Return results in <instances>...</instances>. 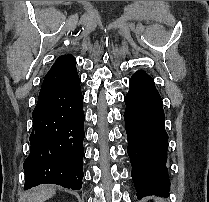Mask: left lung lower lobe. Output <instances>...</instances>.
Wrapping results in <instances>:
<instances>
[{"label":"left lung lower lobe","instance_id":"0a47b994","mask_svg":"<svg viewBox=\"0 0 209 202\" xmlns=\"http://www.w3.org/2000/svg\"><path fill=\"white\" fill-rule=\"evenodd\" d=\"M124 101L127 151L137 198L168 196V135L164 125L163 104L153 79L144 70L132 75Z\"/></svg>","mask_w":209,"mask_h":202}]
</instances>
